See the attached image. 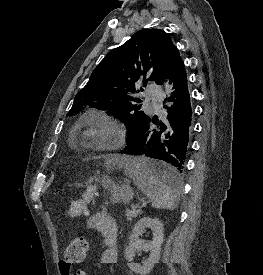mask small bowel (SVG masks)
Wrapping results in <instances>:
<instances>
[{
	"instance_id": "1",
	"label": "small bowel",
	"mask_w": 263,
	"mask_h": 275,
	"mask_svg": "<svg viewBox=\"0 0 263 275\" xmlns=\"http://www.w3.org/2000/svg\"><path fill=\"white\" fill-rule=\"evenodd\" d=\"M87 227L96 230L102 237V253L100 263L110 266L116 263L118 255V224L106 209L90 215ZM61 275H70V270H63L59 264Z\"/></svg>"
}]
</instances>
